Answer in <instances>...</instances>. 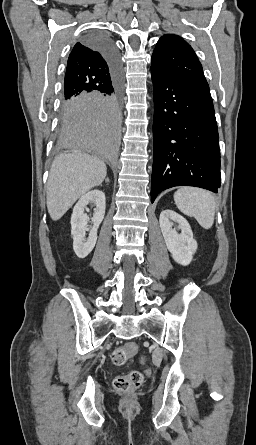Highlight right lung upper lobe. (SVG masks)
<instances>
[{
    "label": "right lung upper lobe",
    "mask_w": 256,
    "mask_h": 445,
    "mask_svg": "<svg viewBox=\"0 0 256 445\" xmlns=\"http://www.w3.org/2000/svg\"><path fill=\"white\" fill-rule=\"evenodd\" d=\"M111 70L102 52L84 41L77 42L69 55L64 100L102 90L111 84Z\"/></svg>",
    "instance_id": "obj_1"
}]
</instances>
